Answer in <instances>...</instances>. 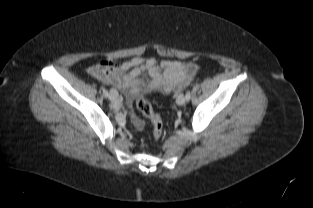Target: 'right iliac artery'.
<instances>
[{
	"label": "right iliac artery",
	"instance_id": "82829eb1",
	"mask_svg": "<svg viewBox=\"0 0 313 208\" xmlns=\"http://www.w3.org/2000/svg\"><path fill=\"white\" fill-rule=\"evenodd\" d=\"M103 94H104V96H105V97H108V96H109V94H108V91H107V90H104V91H103Z\"/></svg>",
	"mask_w": 313,
	"mask_h": 208
}]
</instances>
